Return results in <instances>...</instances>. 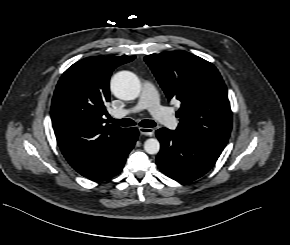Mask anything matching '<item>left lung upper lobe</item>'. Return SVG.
I'll use <instances>...</instances> for the list:
<instances>
[{
  "label": "left lung upper lobe",
  "instance_id": "1",
  "mask_svg": "<svg viewBox=\"0 0 290 245\" xmlns=\"http://www.w3.org/2000/svg\"><path fill=\"white\" fill-rule=\"evenodd\" d=\"M144 60L168 100L181 102L176 131L224 149L232 128V112L226 85L216 67L185 51L151 54Z\"/></svg>",
  "mask_w": 290,
  "mask_h": 245
}]
</instances>
